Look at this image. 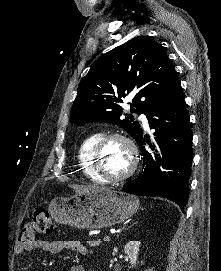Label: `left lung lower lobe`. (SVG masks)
Returning <instances> with one entry per match:
<instances>
[{"label":"left lung lower lobe","instance_id":"0a47b994","mask_svg":"<svg viewBox=\"0 0 221 271\" xmlns=\"http://www.w3.org/2000/svg\"><path fill=\"white\" fill-rule=\"evenodd\" d=\"M151 129H155L162 158L153 160L145 150L147 135L136 139L141 148L144 170L124 184L123 190L139 196H163L177 203L183 211L188 201V181L193 159L192 132L185 99L179 84L172 95L147 116Z\"/></svg>","mask_w":221,"mask_h":271}]
</instances>
